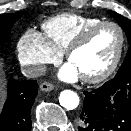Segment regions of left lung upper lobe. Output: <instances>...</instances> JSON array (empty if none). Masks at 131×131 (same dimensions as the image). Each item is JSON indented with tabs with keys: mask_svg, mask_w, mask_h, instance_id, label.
Here are the masks:
<instances>
[{
	"mask_svg": "<svg viewBox=\"0 0 131 131\" xmlns=\"http://www.w3.org/2000/svg\"><path fill=\"white\" fill-rule=\"evenodd\" d=\"M109 13L116 19L118 24L125 31L129 42V48L126 58L124 60V63L119 68L116 76L131 74V21L116 12L110 11Z\"/></svg>",
	"mask_w": 131,
	"mask_h": 131,
	"instance_id": "5c2ea615",
	"label": "left lung upper lobe"
}]
</instances>
